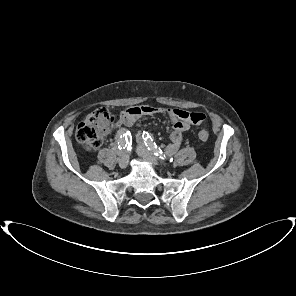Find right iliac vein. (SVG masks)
Wrapping results in <instances>:
<instances>
[{
    "instance_id": "obj_1",
    "label": "right iliac vein",
    "mask_w": 296,
    "mask_h": 296,
    "mask_svg": "<svg viewBox=\"0 0 296 296\" xmlns=\"http://www.w3.org/2000/svg\"><path fill=\"white\" fill-rule=\"evenodd\" d=\"M129 162V156L126 153H123L118 159V164L120 168L125 169Z\"/></svg>"
}]
</instances>
